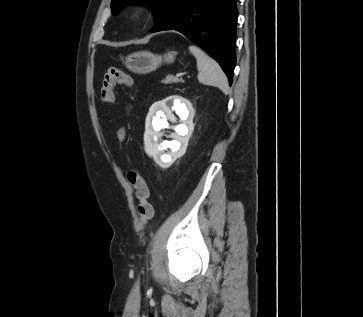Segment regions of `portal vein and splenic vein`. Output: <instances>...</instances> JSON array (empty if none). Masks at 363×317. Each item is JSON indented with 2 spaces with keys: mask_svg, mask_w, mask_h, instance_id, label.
<instances>
[{
  "mask_svg": "<svg viewBox=\"0 0 363 317\" xmlns=\"http://www.w3.org/2000/svg\"><path fill=\"white\" fill-rule=\"evenodd\" d=\"M184 75H185V73H178V74H176V76H177V77H180V78H181L182 76H184Z\"/></svg>",
  "mask_w": 363,
  "mask_h": 317,
  "instance_id": "portal-vein-and-splenic-vein-1",
  "label": "portal vein and splenic vein"
}]
</instances>
